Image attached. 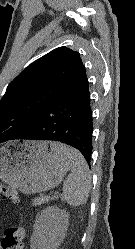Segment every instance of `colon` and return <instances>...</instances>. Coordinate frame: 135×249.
I'll use <instances>...</instances> for the list:
<instances>
[{
	"mask_svg": "<svg viewBox=\"0 0 135 249\" xmlns=\"http://www.w3.org/2000/svg\"><path fill=\"white\" fill-rule=\"evenodd\" d=\"M0 193L6 200L18 201V195L15 189L9 185L0 182ZM25 229L23 227H9L5 229L2 239V249H23L25 239Z\"/></svg>",
	"mask_w": 135,
	"mask_h": 249,
	"instance_id": "colon-1",
	"label": "colon"
}]
</instances>
